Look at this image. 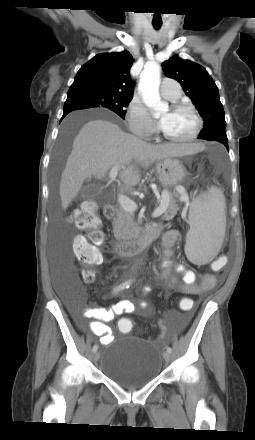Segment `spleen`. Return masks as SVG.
Segmentation results:
<instances>
[{
	"mask_svg": "<svg viewBox=\"0 0 255 440\" xmlns=\"http://www.w3.org/2000/svg\"><path fill=\"white\" fill-rule=\"evenodd\" d=\"M189 222L186 256L194 264H206L220 250L225 235V198L222 192L212 187L198 196L190 206Z\"/></svg>",
	"mask_w": 255,
	"mask_h": 440,
	"instance_id": "1",
	"label": "spleen"
}]
</instances>
